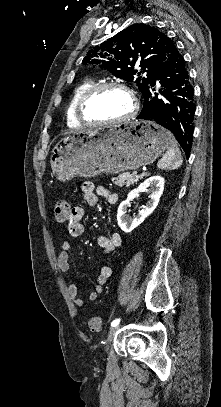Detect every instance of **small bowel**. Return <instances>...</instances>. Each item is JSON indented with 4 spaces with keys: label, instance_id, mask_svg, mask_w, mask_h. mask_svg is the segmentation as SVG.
<instances>
[{
    "label": "small bowel",
    "instance_id": "1",
    "mask_svg": "<svg viewBox=\"0 0 221 407\" xmlns=\"http://www.w3.org/2000/svg\"><path fill=\"white\" fill-rule=\"evenodd\" d=\"M81 191L83 195V201L89 206H95L98 204L99 196H102L110 205H115L118 202V195L116 193L108 191L102 186L96 187L93 182H84L81 185ZM84 209L82 206H76L73 208L71 217L68 221V232L73 237H79L84 233V226L82 224V217ZM98 244L101 247L103 255H107L115 250L121 244V238L118 233H109L100 235L98 237ZM69 241H63L61 249L57 255L56 264L58 269L62 273H68L70 269L69 260ZM112 274V269L108 264H103L100 268L99 275L97 277V285L94 290L89 294V300L95 301L99 294L103 292V287L107 283ZM68 294L72 302L77 307H83L84 301L79 296V290L77 285L71 280L67 281Z\"/></svg>",
    "mask_w": 221,
    "mask_h": 407
}]
</instances>
